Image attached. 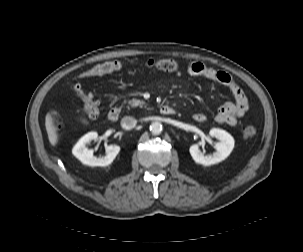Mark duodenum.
Instances as JSON below:
<instances>
[{"label":"duodenum","mask_w":303,"mask_h":252,"mask_svg":"<svg viewBox=\"0 0 303 252\" xmlns=\"http://www.w3.org/2000/svg\"><path fill=\"white\" fill-rule=\"evenodd\" d=\"M160 111L162 114L164 115H170V114H173L175 113V109L172 107V106H169V105H164L160 108ZM121 113V109L119 106H114L110 109L109 113H108V118L111 120V121H116L119 117Z\"/></svg>","instance_id":"duodenum-1"}]
</instances>
